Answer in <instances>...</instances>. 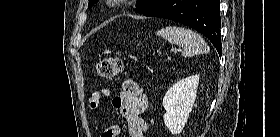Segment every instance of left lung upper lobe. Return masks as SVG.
I'll return each mask as SVG.
<instances>
[{
	"label": "left lung upper lobe",
	"instance_id": "1",
	"mask_svg": "<svg viewBox=\"0 0 280 137\" xmlns=\"http://www.w3.org/2000/svg\"><path fill=\"white\" fill-rule=\"evenodd\" d=\"M97 1L98 0H89L88 7L93 6ZM161 1L162 0H137L136 8H134V11L140 14H144Z\"/></svg>",
	"mask_w": 280,
	"mask_h": 137
}]
</instances>
